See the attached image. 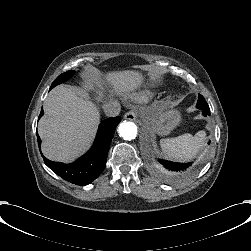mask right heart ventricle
<instances>
[{
    "label": "right heart ventricle",
    "instance_id": "1",
    "mask_svg": "<svg viewBox=\"0 0 251 251\" xmlns=\"http://www.w3.org/2000/svg\"><path fill=\"white\" fill-rule=\"evenodd\" d=\"M155 94V90L152 87H146L141 89L134 97V100L137 102H147Z\"/></svg>",
    "mask_w": 251,
    "mask_h": 251
}]
</instances>
